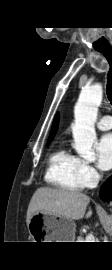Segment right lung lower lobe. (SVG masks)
<instances>
[{
  "label": "right lung lower lobe",
  "instance_id": "1",
  "mask_svg": "<svg viewBox=\"0 0 112 270\" xmlns=\"http://www.w3.org/2000/svg\"><path fill=\"white\" fill-rule=\"evenodd\" d=\"M100 197L102 200L107 202L112 200V176H110L102 185L100 190Z\"/></svg>",
  "mask_w": 112,
  "mask_h": 270
}]
</instances>
